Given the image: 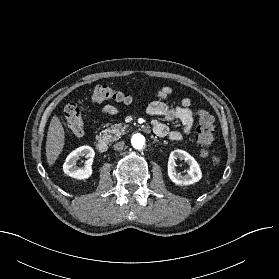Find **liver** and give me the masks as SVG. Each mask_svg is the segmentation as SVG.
<instances>
[{"instance_id": "obj_1", "label": "liver", "mask_w": 279, "mask_h": 279, "mask_svg": "<svg viewBox=\"0 0 279 279\" xmlns=\"http://www.w3.org/2000/svg\"><path fill=\"white\" fill-rule=\"evenodd\" d=\"M65 141L64 128L60 119L55 115L50 121L46 140V159L49 166H52L63 150Z\"/></svg>"}]
</instances>
